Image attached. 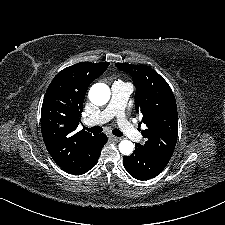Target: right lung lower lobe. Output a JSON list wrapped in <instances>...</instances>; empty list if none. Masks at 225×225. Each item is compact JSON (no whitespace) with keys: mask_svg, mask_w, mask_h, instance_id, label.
Instances as JSON below:
<instances>
[{"mask_svg":"<svg viewBox=\"0 0 225 225\" xmlns=\"http://www.w3.org/2000/svg\"><path fill=\"white\" fill-rule=\"evenodd\" d=\"M99 138H100V141H101V148H100L98 154L96 155L95 159L92 161V163L90 164V166L86 170V172L89 171L91 168H93L96 165V163L98 161V158H99V156L101 154V150H102L103 146L107 142V136L105 134H99Z\"/></svg>","mask_w":225,"mask_h":225,"instance_id":"1","label":"right lung lower lobe"}]
</instances>
